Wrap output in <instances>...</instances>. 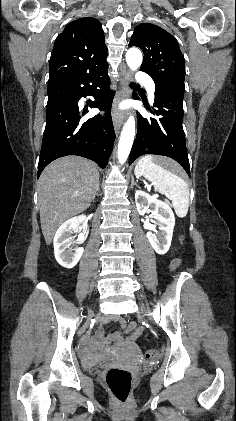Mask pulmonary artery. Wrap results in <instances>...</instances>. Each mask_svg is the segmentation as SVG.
<instances>
[{
	"mask_svg": "<svg viewBox=\"0 0 236 421\" xmlns=\"http://www.w3.org/2000/svg\"><path fill=\"white\" fill-rule=\"evenodd\" d=\"M146 76V71L145 70H139L138 71V76H137V81L141 83L142 86H151L153 83V80L151 77H145ZM148 97L149 100L151 102H153L154 100V87L151 86L148 89Z\"/></svg>",
	"mask_w": 236,
	"mask_h": 421,
	"instance_id": "obj_1",
	"label": "pulmonary artery"
}]
</instances>
